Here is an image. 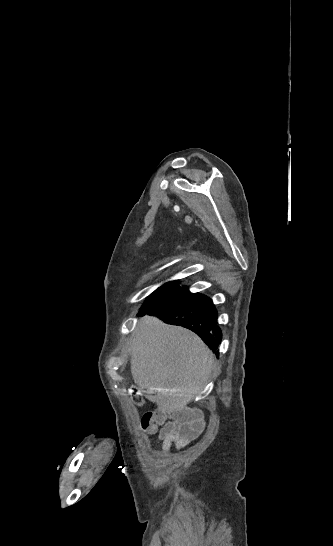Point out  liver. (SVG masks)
Listing matches in <instances>:
<instances>
[{"label": "liver", "instance_id": "liver-1", "mask_svg": "<svg viewBox=\"0 0 333 546\" xmlns=\"http://www.w3.org/2000/svg\"><path fill=\"white\" fill-rule=\"evenodd\" d=\"M131 374L162 412L187 410L205 386L213 354L193 332L145 316L131 345ZM155 394V395H153Z\"/></svg>", "mask_w": 333, "mask_h": 546}]
</instances>
